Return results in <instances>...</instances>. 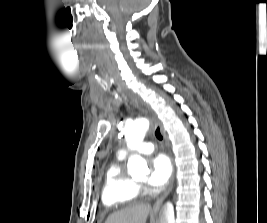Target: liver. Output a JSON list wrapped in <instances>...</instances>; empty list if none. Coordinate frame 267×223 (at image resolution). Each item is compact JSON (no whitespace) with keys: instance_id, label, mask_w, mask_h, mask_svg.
Masks as SVG:
<instances>
[{"instance_id":"liver-1","label":"liver","mask_w":267,"mask_h":223,"mask_svg":"<svg viewBox=\"0 0 267 223\" xmlns=\"http://www.w3.org/2000/svg\"><path fill=\"white\" fill-rule=\"evenodd\" d=\"M151 210L149 204H136L112 213L105 223H146Z\"/></svg>"}]
</instances>
